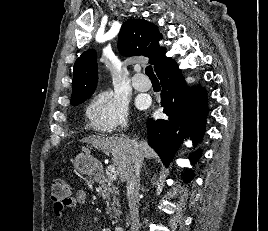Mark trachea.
I'll return each mask as SVG.
<instances>
[{
  "label": "trachea",
  "instance_id": "3493384b",
  "mask_svg": "<svg viewBox=\"0 0 268 231\" xmlns=\"http://www.w3.org/2000/svg\"><path fill=\"white\" fill-rule=\"evenodd\" d=\"M145 73L149 78H156V75L153 72V68L150 65L146 67Z\"/></svg>",
  "mask_w": 268,
  "mask_h": 231
}]
</instances>
